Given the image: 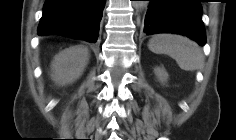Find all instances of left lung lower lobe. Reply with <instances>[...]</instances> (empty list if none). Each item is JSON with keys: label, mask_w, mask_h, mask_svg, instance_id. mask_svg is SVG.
I'll return each instance as SVG.
<instances>
[{"label": "left lung lower lobe", "mask_w": 236, "mask_h": 140, "mask_svg": "<svg viewBox=\"0 0 236 140\" xmlns=\"http://www.w3.org/2000/svg\"><path fill=\"white\" fill-rule=\"evenodd\" d=\"M201 0H150L144 32L186 35L204 46L206 35L202 22Z\"/></svg>", "instance_id": "left-lung-lower-lobe-1"}]
</instances>
